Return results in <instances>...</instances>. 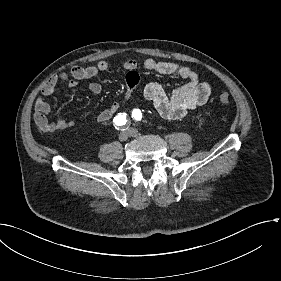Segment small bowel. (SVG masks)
Instances as JSON below:
<instances>
[{"instance_id":"c3829d8e","label":"small bowel","mask_w":281,"mask_h":281,"mask_svg":"<svg viewBox=\"0 0 281 281\" xmlns=\"http://www.w3.org/2000/svg\"><path fill=\"white\" fill-rule=\"evenodd\" d=\"M109 67V63L105 60L87 67L74 66L69 74L51 76L43 85L42 95L50 96L54 94L57 87L62 83H67L70 88H75L79 84L91 80L98 73L107 71ZM123 67L127 72L125 102L131 98L139 85L138 63L134 59H128L124 62ZM143 67L149 71L175 75L186 81L170 96L156 83H149L144 87V98L150 101L159 115L165 119L177 120L185 117L191 110L206 103L211 94L210 84L201 81L198 74L188 67L170 61H157L153 58L145 59ZM89 89L93 94H99L102 91V85L98 82H91ZM120 109L121 101L115 100L97 116L96 120L100 123L108 122L120 112ZM50 110V104L44 98L39 97L36 100L33 114L34 121L43 133L52 134L69 130L75 126L74 121L61 117L49 120L47 115Z\"/></svg>"}]
</instances>
